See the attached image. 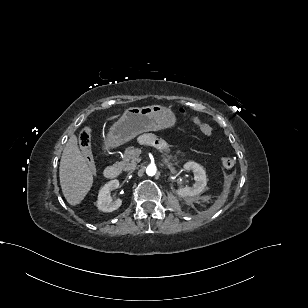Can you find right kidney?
Listing matches in <instances>:
<instances>
[{"label":"right kidney","mask_w":308,"mask_h":308,"mask_svg":"<svg viewBox=\"0 0 308 308\" xmlns=\"http://www.w3.org/2000/svg\"><path fill=\"white\" fill-rule=\"evenodd\" d=\"M119 187L117 179L107 182L100 190L97 199V207L103 212H112L122 205V200L117 199L112 202L110 192Z\"/></svg>","instance_id":"1"}]
</instances>
